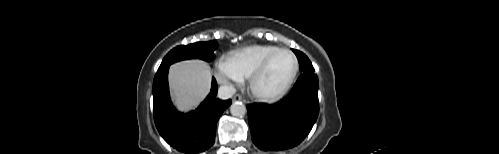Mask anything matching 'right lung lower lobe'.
<instances>
[{
	"label": "right lung lower lobe",
	"mask_w": 499,
	"mask_h": 154,
	"mask_svg": "<svg viewBox=\"0 0 499 154\" xmlns=\"http://www.w3.org/2000/svg\"><path fill=\"white\" fill-rule=\"evenodd\" d=\"M169 67L158 69L153 82L154 121L160 135L178 151L195 154L210 148L215 141L216 125L231 100L216 98L217 83L212 79L208 97L197 109L182 114L171 103L168 87Z\"/></svg>",
	"instance_id": "right-lung-lower-lobe-1"
}]
</instances>
